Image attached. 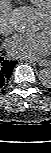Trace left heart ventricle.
<instances>
[{
  "label": "left heart ventricle",
  "mask_w": 51,
  "mask_h": 153,
  "mask_svg": "<svg viewBox=\"0 0 51 153\" xmlns=\"http://www.w3.org/2000/svg\"><path fill=\"white\" fill-rule=\"evenodd\" d=\"M39 29L42 30H51V20L41 16L40 21H39Z\"/></svg>",
  "instance_id": "left-heart-ventricle-1"
}]
</instances>
